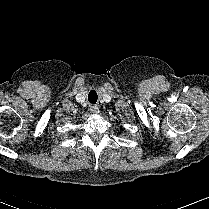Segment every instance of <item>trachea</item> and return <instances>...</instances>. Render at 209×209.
<instances>
[{
  "instance_id": "obj_1",
  "label": "trachea",
  "mask_w": 209,
  "mask_h": 209,
  "mask_svg": "<svg viewBox=\"0 0 209 209\" xmlns=\"http://www.w3.org/2000/svg\"><path fill=\"white\" fill-rule=\"evenodd\" d=\"M98 100V95L95 90H91L88 94V101L92 104L96 103Z\"/></svg>"
}]
</instances>
